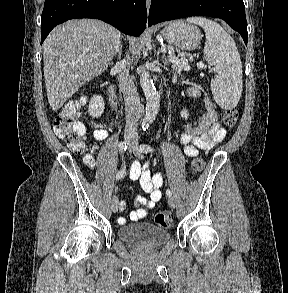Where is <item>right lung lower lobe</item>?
<instances>
[{"label": "right lung lower lobe", "instance_id": "obj_1", "mask_svg": "<svg viewBox=\"0 0 288 293\" xmlns=\"http://www.w3.org/2000/svg\"><path fill=\"white\" fill-rule=\"evenodd\" d=\"M72 18H94L121 32L139 36L146 27V0H45L41 16V44L58 24Z\"/></svg>", "mask_w": 288, "mask_h": 293}]
</instances>
